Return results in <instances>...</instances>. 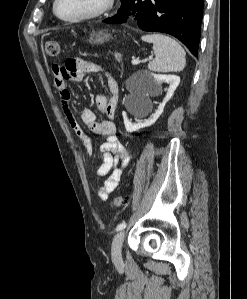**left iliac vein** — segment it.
<instances>
[{"mask_svg":"<svg viewBox=\"0 0 247 299\" xmlns=\"http://www.w3.org/2000/svg\"><path fill=\"white\" fill-rule=\"evenodd\" d=\"M125 233L124 231L118 232L112 242L111 252L112 260L115 264H119L122 261V244L124 241Z\"/></svg>","mask_w":247,"mask_h":299,"instance_id":"left-iliac-vein-1","label":"left iliac vein"}]
</instances>
